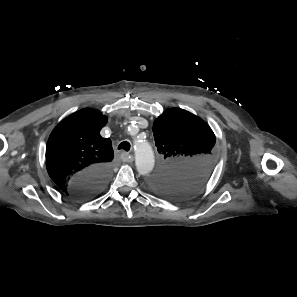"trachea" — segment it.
Here are the masks:
<instances>
[{"mask_svg":"<svg viewBox=\"0 0 297 297\" xmlns=\"http://www.w3.org/2000/svg\"><path fill=\"white\" fill-rule=\"evenodd\" d=\"M119 150H125L129 151L130 150V144L127 141L121 142L118 146Z\"/></svg>","mask_w":297,"mask_h":297,"instance_id":"trachea-1","label":"trachea"}]
</instances>
